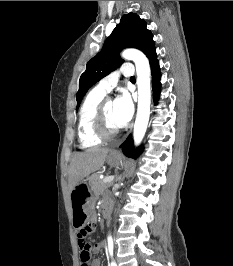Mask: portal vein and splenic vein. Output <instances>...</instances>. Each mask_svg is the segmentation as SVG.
Returning a JSON list of instances; mask_svg holds the SVG:
<instances>
[{
  "label": "portal vein and splenic vein",
  "mask_w": 233,
  "mask_h": 266,
  "mask_svg": "<svg viewBox=\"0 0 233 266\" xmlns=\"http://www.w3.org/2000/svg\"><path fill=\"white\" fill-rule=\"evenodd\" d=\"M114 180V176L113 175H109V176H106L105 178H104V183H110L111 181H113Z\"/></svg>",
  "instance_id": "1"
}]
</instances>
